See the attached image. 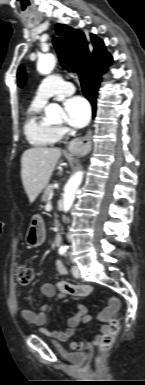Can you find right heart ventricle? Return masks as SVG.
<instances>
[{"instance_id": "right-heart-ventricle-1", "label": "right heart ventricle", "mask_w": 145, "mask_h": 385, "mask_svg": "<svg viewBox=\"0 0 145 385\" xmlns=\"http://www.w3.org/2000/svg\"><path fill=\"white\" fill-rule=\"evenodd\" d=\"M44 104L32 102L27 109L23 131L28 142L36 147H47L59 139L56 128L41 117Z\"/></svg>"}]
</instances>
